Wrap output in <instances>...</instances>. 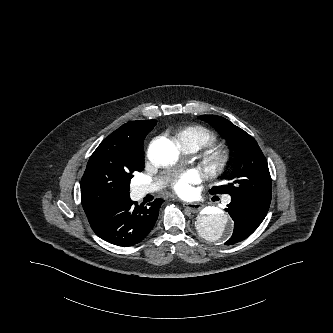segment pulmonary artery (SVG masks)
Listing matches in <instances>:
<instances>
[{
  "label": "pulmonary artery",
  "mask_w": 333,
  "mask_h": 333,
  "mask_svg": "<svg viewBox=\"0 0 333 333\" xmlns=\"http://www.w3.org/2000/svg\"><path fill=\"white\" fill-rule=\"evenodd\" d=\"M179 148L185 153H191L198 149V146L189 141H178ZM158 188V184H142L135 188V192L138 197H143L144 195L155 191ZM230 200L229 197L226 198L228 202Z\"/></svg>",
  "instance_id": "e3ab8cb5"
}]
</instances>
